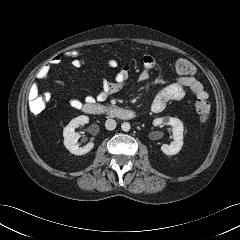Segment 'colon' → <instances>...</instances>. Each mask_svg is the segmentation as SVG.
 Here are the masks:
<instances>
[{"label": "colon", "instance_id": "colon-1", "mask_svg": "<svg viewBox=\"0 0 240 240\" xmlns=\"http://www.w3.org/2000/svg\"><path fill=\"white\" fill-rule=\"evenodd\" d=\"M64 59H67L74 67H81L86 62V55L83 49L73 47L63 53ZM175 70L182 75H191L194 73V65L187 59L180 58L175 62ZM48 98L46 96H38L31 98L29 107L32 113H41L46 105ZM195 109L201 123H206L211 115V106L208 100H197Z\"/></svg>", "mask_w": 240, "mask_h": 240}]
</instances>
